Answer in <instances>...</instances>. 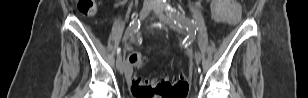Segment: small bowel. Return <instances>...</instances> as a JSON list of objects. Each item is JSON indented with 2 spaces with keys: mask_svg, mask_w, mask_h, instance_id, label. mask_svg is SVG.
Returning a JSON list of instances; mask_svg holds the SVG:
<instances>
[{
  "mask_svg": "<svg viewBox=\"0 0 308 98\" xmlns=\"http://www.w3.org/2000/svg\"><path fill=\"white\" fill-rule=\"evenodd\" d=\"M127 75H128V78L131 79L132 77V70H131V67L130 65H128V70H127ZM136 80V79H135ZM134 80V81H135ZM134 81H133V84H134ZM177 81V80H176ZM175 82V81H174ZM133 84H132V89H133Z\"/></svg>",
  "mask_w": 308,
  "mask_h": 98,
  "instance_id": "c3829d8e",
  "label": "small bowel"
}]
</instances>
